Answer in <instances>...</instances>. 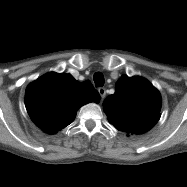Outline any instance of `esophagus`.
<instances>
[{"instance_id": "1", "label": "esophagus", "mask_w": 187, "mask_h": 187, "mask_svg": "<svg viewBox=\"0 0 187 187\" xmlns=\"http://www.w3.org/2000/svg\"><path fill=\"white\" fill-rule=\"evenodd\" d=\"M98 92H99L101 98L103 99V98L105 97V95H106V90H105V88L100 87V88L98 89Z\"/></svg>"}]
</instances>
